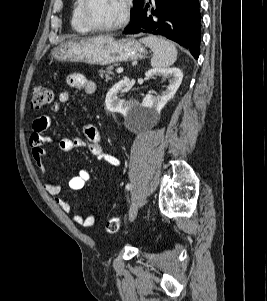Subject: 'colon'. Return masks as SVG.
I'll return each instance as SVG.
<instances>
[{"label": "colon", "mask_w": 267, "mask_h": 301, "mask_svg": "<svg viewBox=\"0 0 267 301\" xmlns=\"http://www.w3.org/2000/svg\"><path fill=\"white\" fill-rule=\"evenodd\" d=\"M54 95L52 90L43 85H38L33 89L31 106L33 108H41L51 104L53 101ZM120 227V221L118 218H110L105 225V229L109 233H115Z\"/></svg>", "instance_id": "obj_1"}]
</instances>
